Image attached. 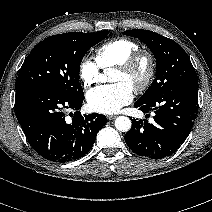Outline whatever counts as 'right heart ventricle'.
<instances>
[{"mask_svg":"<svg viewBox=\"0 0 212 212\" xmlns=\"http://www.w3.org/2000/svg\"><path fill=\"white\" fill-rule=\"evenodd\" d=\"M139 50L136 42L127 38H115L99 46L95 51V61L100 68L106 69L125 61Z\"/></svg>","mask_w":212,"mask_h":212,"instance_id":"obj_1","label":"right heart ventricle"}]
</instances>
